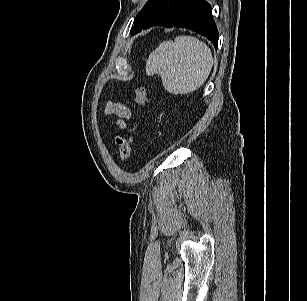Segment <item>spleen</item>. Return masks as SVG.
Returning <instances> with one entry per match:
<instances>
[{"mask_svg": "<svg viewBox=\"0 0 307 301\" xmlns=\"http://www.w3.org/2000/svg\"><path fill=\"white\" fill-rule=\"evenodd\" d=\"M212 65L211 50L204 42L181 35L174 42H162L149 55L146 74H158L169 93L188 94L204 84Z\"/></svg>", "mask_w": 307, "mask_h": 301, "instance_id": "spleen-1", "label": "spleen"}]
</instances>
